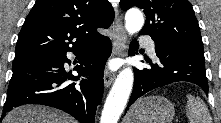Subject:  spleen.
Returning <instances> with one entry per match:
<instances>
[{
    "mask_svg": "<svg viewBox=\"0 0 221 123\" xmlns=\"http://www.w3.org/2000/svg\"><path fill=\"white\" fill-rule=\"evenodd\" d=\"M186 115L190 123H212L209 110L201 98L187 95Z\"/></svg>",
    "mask_w": 221,
    "mask_h": 123,
    "instance_id": "3e777b00",
    "label": "spleen"
}]
</instances>
